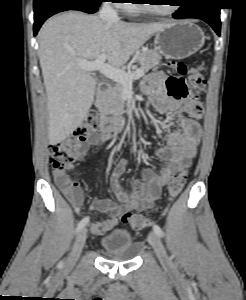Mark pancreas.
Instances as JSON below:
<instances>
[{
    "mask_svg": "<svg viewBox=\"0 0 246 300\" xmlns=\"http://www.w3.org/2000/svg\"><path fill=\"white\" fill-rule=\"evenodd\" d=\"M161 56L157 51L148 50L141 52L137 55V61L140 63V69L143 70V75L150 69L159 64ZM130 72H133L130 70ZM125 86L121 83H116L109 87L100 97L98 107L102 115H111L119 117L124 113L125 99L124 92Z\"/></svg>",
    "mask_w": 246,
    "mask_h": 300,
    "instance_id": "pancreas-1",
    "label": "pancreas"
}]
</instances>
